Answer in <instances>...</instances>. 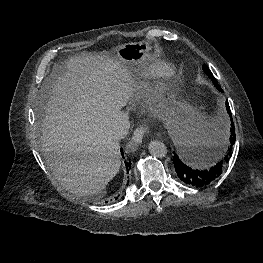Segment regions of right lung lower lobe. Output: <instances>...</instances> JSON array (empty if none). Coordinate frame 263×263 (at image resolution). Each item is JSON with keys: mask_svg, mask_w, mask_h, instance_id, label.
Instances as JSON below:
<instances>
[{"mask_svg": "<svg viewBox=\"0 0 263 263\" xmlns=\"http://www.w3.org/2000/svg\"><path fill=\"white\" fill-rule=\"evenodd\" d=\"M122 155H123V150L121 149ZM126 169L129 170L131 167V162H125Z\"/></svg>", "mask_w": 263, "mask_h": 263, "instance_id": "right-lung-lower-lobe-1", "label": "right lung lower lobe"}]
</instances>
